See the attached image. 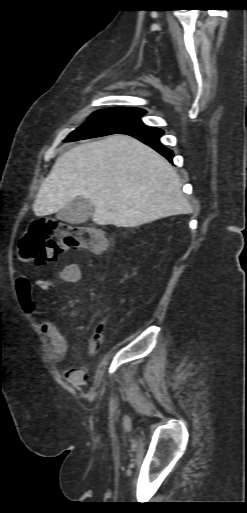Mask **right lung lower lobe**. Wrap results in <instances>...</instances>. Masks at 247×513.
Wrapping results in <instances>:
<instances>
[{"label": "right lung lower lobe", "instance_id": "obj_1", "mask_svg": "<svg viewBox=\"0 0 247 513\" xmlns=\"http://www.w3.org/2000/svg\"><path fill=\"white\" fill-rule=\"evenodd\" d=\"M119 133L127 134L139 139L166 157L170 162H172L173 152L165 148L159 142V138L164 133L163 130L158 128H150L141 123L135 126H130L120 131Z\"/></svg>", "mask_w": 247, "mask_h": 513}]
</instances>
